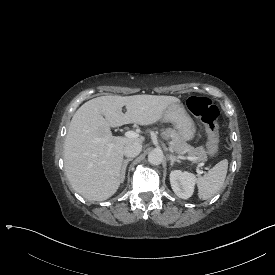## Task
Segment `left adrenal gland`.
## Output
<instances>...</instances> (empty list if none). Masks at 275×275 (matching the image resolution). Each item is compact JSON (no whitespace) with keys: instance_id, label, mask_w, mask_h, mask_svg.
<instances>
[{"instance_id":"a2214340","label":"left adrenal gland","mask_w":275,"mask_h":275,"mask_svg":"<svg viewBox=\"0 0 275 275\" xmlns=\"http://www.w3.org/2000/svg\"><path fill=\"white\" fill-rule=\"evenodd\" d=\"M168 158L170 159V165H171V166H173L174 162L181 163V161L178 160V159L176 158V156H174V155H172V154H170V155L168 156Z\"/></svg>"}]
</instances>
